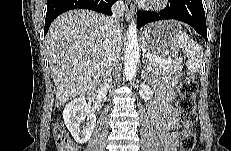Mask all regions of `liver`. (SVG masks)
I'll return each mask as SVG.
<instances>
[{
  "label": "liver",
  "mask_w": 231,
  "mask_h": 151,
  "mask_svg": "<svg viewBox=\"0 0 231 151\" xmlns=\"http://www.w3.org/2000/svg\"><path fill=\"white\" fill-rule=\"evenodd\" d=\"M107 18L90 10H71L52 22L45 47L56 89V107L94 89L104 78ZM117 42L122 45V30Z\"/></svg>",
  "instance_id": "1"
}]
</instances>
